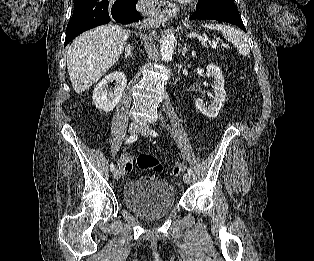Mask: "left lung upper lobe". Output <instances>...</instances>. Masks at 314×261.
<instances>
[{
  "label": "left lung upper lobe",
  "instance_id": "1",
  "mask_svg": "<svg viewBox=\"0 0 314 261\" xmlns=\"http://www.w3.org/2000/svg\"><path fill=\"white\" fill-rule=\"evenodd\" d=\"M196 8L237 10L233 0H199Z\"/></svg>",
  "mask_w": 314,
  "mask_h": 261
}]
</instances>
